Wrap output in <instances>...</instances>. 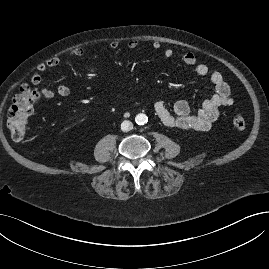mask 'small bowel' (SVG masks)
<instances>
[{
	"mask_svg": "<svg viewBox=\"0 0 269 269\" xmlns=\"http://www.w3.org/2000/svg\"><path fill=\"white\" fill-rule=\"evenodd\" d=\"M138 46L139 42L136 39H131L127 43V47L131 50L138 48ZM151 46L154 50H160L162 48V44L158 41L152 42ZM109 47L112 50H116L119 47V43L117 41H111ZM83 54L84 49L81 47L74 48L69 52V55L73 57H81ZM162 54L165 58H171L174 51L171 47H165L162 50ZM181 61L185 65L192 67L197 75H209L215 94L203 102L200 111L196 114L191 113L190 105L186 100L176 101L172 109H169L163 101H156L154 103L155 113L162 123L168 127L181 131H207L219 118L221 108L234 104V99L231 96V88L220 72H210L207 65L197 63V59L193 53H183L181 55ZM60 63V58H50L45 63L40 64L31 76L32 84L40 86V93L46 101L52 99L55 94L62 97L70 95V89L65 85H59L56 91L42 86L43 73L49 68L57 67ZM89 71L93 73L95 68L91 67Z\"/></svg>",
	"mask_w": 269,
	"mask_h": 269,
	"instance_id": "small-bowel-1",
	"label": "small bowel"
}]
</instances>
